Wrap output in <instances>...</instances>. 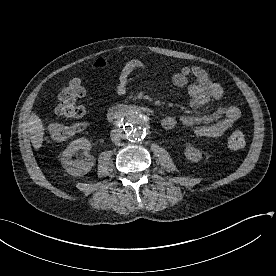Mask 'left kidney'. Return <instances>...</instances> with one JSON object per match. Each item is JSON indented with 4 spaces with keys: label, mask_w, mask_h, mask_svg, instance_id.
I'll return each mask as SVG.
<instances>
[{
    "label": "left kidney",
    "mask_w": 276,
    "mask_h": 276,
    "mask_svg": "<svg viewBox=\"0 0 276 276\" xmlns=\"http://www.w3.org/2000/svg\"><path fill=\"white\" fill-rule=\"evenodd\" d=\"M184 155L191 162H198L202 159V153L191 145L186 146Z\"/></svg>",
    "instance_id": "5707ae66"
}]
</instances>
